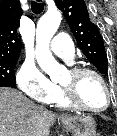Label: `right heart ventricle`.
<instances>
[{"label": "right heart ventricle", "instance_id": "1", "mask_svg": "<svg viewBox=\"0 0 117 136\" xmlns=\"http://www.w3.org/2000/svg\"><path fill=\"white\" fill-rule=\"evenodd\" d=\"M52 102L60 107H69L70 106L67 103L66 99L64 98V95H63L61 89H59V88H58Z\"/></svg>", "mask_w": 117, "mask_h": 136}]
</instances>
